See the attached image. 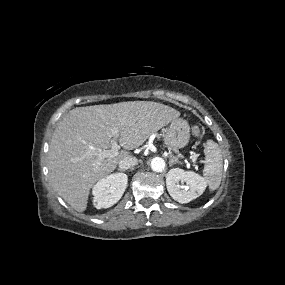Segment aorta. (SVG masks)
Listing matches in <instances>:
<instances>
[{
	"mask_svg": "<svg viewBox=\"0 0 285 285\" xmlns=\"http://www.w3.org/2000/svg\"><path fill=\"white\" fill-rule=\"evenodd\" d=\"M151 169L154 172H162L165 169V161L161 157H154L151 160Z\"/></svg>",
	"mask_w": 285,
	"mask_h": 285,
	"instance_id": "1",
	"label": "aorta"
}]
</instances>
